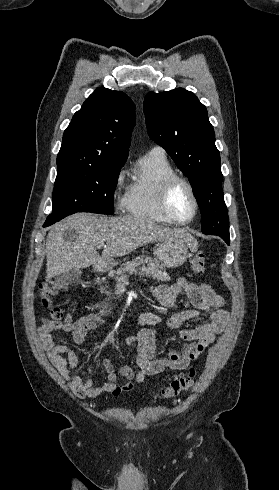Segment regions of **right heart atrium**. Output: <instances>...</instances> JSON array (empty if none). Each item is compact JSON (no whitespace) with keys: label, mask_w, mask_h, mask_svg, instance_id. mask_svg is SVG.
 <instances>
[{"label":"right heart atrium","mask_w":279,"mask_h":490,"mask_svg":"<svg viewBox=\"0 0 279 490\" xmlns=\"http://www.w3.org/2000/svg\"><path fill=\"white\" fill-rule=\"evenodd\" d=\"M124 177H125V171L124 170H121L117 174L116 180H115V189H116V191H118L122 187L123 182H124Z\"/></svg>","instance_id":"d8ad5b80"}]
</instances>
